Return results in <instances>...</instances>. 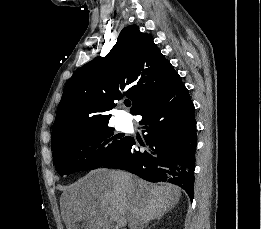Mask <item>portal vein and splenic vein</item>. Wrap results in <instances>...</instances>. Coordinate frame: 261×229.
I'll return each mask as SVG.
<instances>
[{
  "mask_svg": "<svg viewBox=\"0 0 261 229\" xmlns=\"http://www.w3.org/2000/svg\"><path fill=\"white\" fill-rule=\"evenodd\" d=\"M125 225H126V221L125 219H123V217H121V219H118L117 221L116 229H122V227H125Z\"/></svg>",
  "mask_w": 261,
  "mask_h": 229,
  "instance_id": "portal-vein-and-splenic-vein-1",
  "label": "portal vein and splenic vein"
}]
</instances>
